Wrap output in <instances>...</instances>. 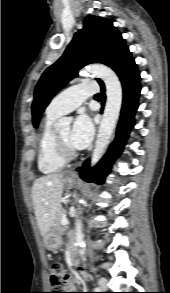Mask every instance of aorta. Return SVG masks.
<instances>
[{"instance_id":"aorta-1","label":"aorta","mask_w":170,"mask_h":293,"mask_svg":"<svg viewBox=\"0 0 170 293\" xmlns=\"http://www.w3.org/2000/svg\"><path fill=\"white\" fill-rule=\"evenodd\" d=\"M84 70L86 73L103 80L107 95L104 113L99 126L95 147L91 156V166H94L104 154V151L112 136L122 107L123 92L118 76L108 66L103 64H92L87 66ZM70 122L71 120L69 118H62L57 123V126L68 125ZM75 240L76 245L79 248V254L84 259L82 222L78 218L75 221Z\"/></svg>"}]
</instances>
